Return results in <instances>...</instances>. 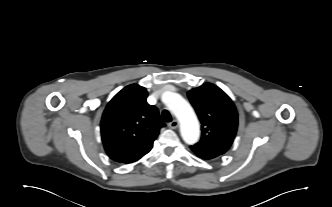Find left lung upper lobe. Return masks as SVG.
<instances>
[{
  "mask_svg": "<svg viewBox=\"0 0 332 207\" xmlns=\"http://www.w3.org/2000/svg\"><path fill=\"white\" fill-rule=\"evenodd\" d=\"M201 122V139L190 148L213 156L225 153L237 131L238 114L233 101L219 87L204 83L188 92Z\"/></svg>",
  "mask_w": 332,
  "mask_h": 207,
  "instance_id": "left-lung-upper-lobe-1",
  "label": "left lung upper lobe"
}]
</instances>
